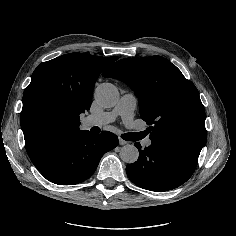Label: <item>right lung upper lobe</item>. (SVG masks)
<instances>
[{
  "instance_id": "cb5924a9",
  "label": "right lung upper lobe",
  "mask_w": 236,
  "mask_h": 236,
  "mask_svg": "<svg viewBox=\"0 0 236 236\" xmlns=\"http://www.w3.org/2000/svg\"><path fill=\"white\" fill-rule=\"evenodd\" d=\"M116 59L70 53L35 69L23 94L20 122L27 153L37 169L60 145L83 132L79 116L91 106L99 74ZM42 106L53 108L60 116L53 131L42 130L35 123V113Z\"/></svg>"
}]
</instances>
